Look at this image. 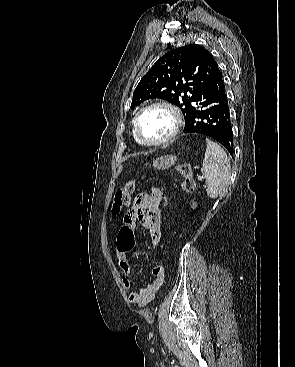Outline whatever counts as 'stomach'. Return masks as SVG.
<instances>
[{
    "label": "stomach",
    "mask_w": 295,
    "mask_h": 367,
    "mask_svg": "<svg viewBox=\"0 0 295 367\" xmlns=\"http://www.w3.org/2000/svg\"><path fill=\"white\" fill-rule=\"evenodd\" d=\"M175 161L176 157L173 155L161 156L153 162V167L155 169L165 170L173 166L175 164Z\"/></svg>",
    "instance_id": "0dacf381"
}]
</instances>
